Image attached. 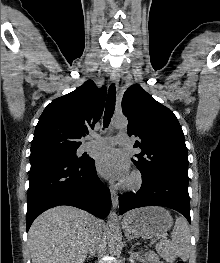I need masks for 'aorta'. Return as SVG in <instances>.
<instances>
[{"label":"aorta","mask_w":220,"mask_h":263,"mask_svg":"<svg viewBox=\"0 0 220 263\" xmlns=\"http://www.w3.org/2000/svg\"><path fill=\"white\" fill-rule=\"evenodd\" d=\"M127 124L128 121L124 116H116L113 118L111 122L112 127L116 129L126 128ZM118 232H119L118 217L114 211H111L108 215V221H107V240L111 251H115L117 249Z\"/></svg>","instance_id":"obj_1"}]
</instances>
